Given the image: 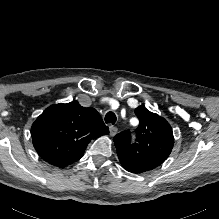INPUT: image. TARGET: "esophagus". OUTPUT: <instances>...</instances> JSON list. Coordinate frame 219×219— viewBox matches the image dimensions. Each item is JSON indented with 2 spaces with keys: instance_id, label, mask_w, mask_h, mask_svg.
Listing matches in <instances>:
<instances>
[{
  "instance_id": "esophagus-1",
  "label": "esophagus",
  "mask_w": 219,
  "mask_h": 219,
  "mask_svg": "<svg viewBox=\"0 0 219 219\" xmlns=\"http://www.w3.org/2000/svg\"><path fill=\"white\" fill-rule=\"evenodd\" d=\"M109 132H110V135H111L112 137H114V136L117 134L118 129H117V127H115V126L110 125V126H109Z\"/></svg>"
}]
</instances>
